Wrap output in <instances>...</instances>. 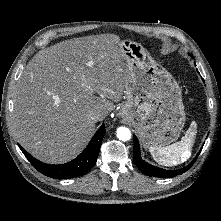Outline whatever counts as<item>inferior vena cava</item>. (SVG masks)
Masks as SVG:
<instances>
[{"label":"inferior vena cava","mask_w":221,"mask_h":221,"mask_svg":"<svg viewBox=\"0 0 221 221\" xmlns=\"http://www.w3.org/2000/svg\"><path fill=\"white\" fill-rule=\"evenodd\" d=\"M101 117H102V114L100 111L94 110L90 113V118L94 122L101 120Z\"/></svg>","instance_id":"1"}]
</instances>
